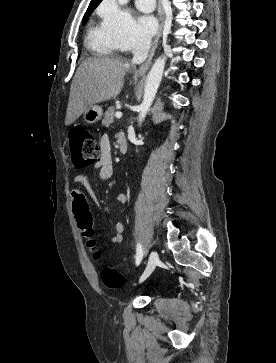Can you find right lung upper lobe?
<instances>
[{"label": "right lung upper lobe", "instance_id": "right-lung-upper-lobe-1", "mask_svg": "<svg viewBox=\"0 0 276 363\" xmlns=\"http://www.w3.org/2000/svg\"><path fill=\"white\" fill-rule=\"evenodd\" d=\"M100 1L101 0H91V2L89 4V7H92V6H95L96 7L100 3Z\"/></svg>", "mask_w": 276, "mask_h": 363}]
</instances>
